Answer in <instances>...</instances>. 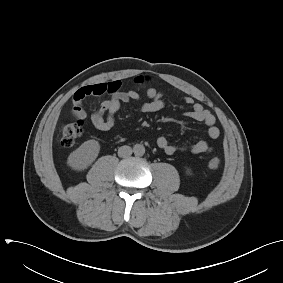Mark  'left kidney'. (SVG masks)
<instances>
[{
  "mask_svg": "<svg viewBox=\"0 0 283 283\" xmlns=\"http://www.w3.org/2000/svg\"><path fill=\"white\" fill-rule=\"evenodd\" d=\"M190 172H191V170H190V169H187V173H188V174H191Z\"/></svg>",
  "mask_w": 283,
  "mask_h": 283,
  "instance_id": "1",
  "label": "left kidney"
}]
</instances>
